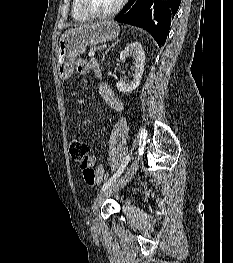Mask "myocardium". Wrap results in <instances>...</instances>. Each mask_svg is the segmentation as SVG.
I'll list each match as a JSON object with an SVG mask.
<instances>
[{
	"label": "myocardium",
	"instance_id": "myocardium-1",
	"mask_svg": "<svg viewBox=\"0 0 233 263\" xmlns=\"http://www.w3.org/2000/svg\"><path fill=\"white\" fill-rule=\"evenodd\" d=\"M126 2L127 0H120L114 8L108 11H105V12L92 11L91 9L87 7L85 0H79V5L83 13L87 15L89 18H107L121 11V9L125 6Z\"/></svg>",
	"mask_w": 233,
	"mask_h": 263
}]
</instances>
